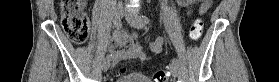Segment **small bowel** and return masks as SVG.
Masks as SVG:
<instances>
[{"mask_svg": "<svg viewBox=\"0 0 279 82\" xmlns=\"http://www.w3.org/2000/svg\"><path fill=\"white\" fill-rule=\"evenodd\" d=\"M196 0H178L175 3L176 8L189 7L193 5ZM209 5L203 10V3L200 7V12L204 13ZM190 14V12H189ZM162 40L158 39L152 46L151 50L159 52L162 48ZM108 52L112 60L113 66L125 65L130 63L141 62L146 59L147 54L143 51L142 46L137 40L134 32H129L127 29H120L111 43L108 45Z\"/></svg>", "mask_w": 279, "mask_h": 82, "instance_id": "1", "label": "small bowel"}]
</instances>
